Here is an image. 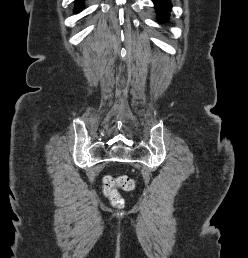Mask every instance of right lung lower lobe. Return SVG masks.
<instances>
[{"instance_id": "obj_1", "label": "right lung lower lobe", "mask_w": 248, "mask_h": 258, "mask_svg": "<svg viewBox=\"0 0 248 258\" xmlns=\"http://www.w3.org/2000/svg\"><path fill=\"white\" fill-rule=\"evenodd\" d=\"M76 5V12H79L83 6V0H77Z\"/></svg>"}]
</instances>
